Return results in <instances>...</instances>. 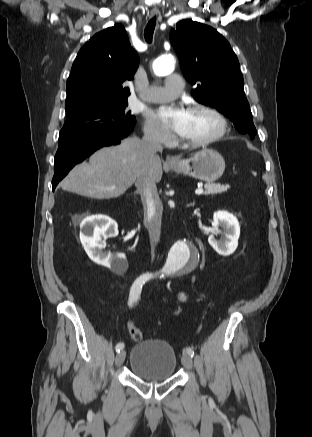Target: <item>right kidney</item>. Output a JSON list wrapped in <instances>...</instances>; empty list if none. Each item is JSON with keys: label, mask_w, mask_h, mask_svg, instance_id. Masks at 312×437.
<instances>
[{"label": "right kidney", "mask_w": 312, "mask_h": 437, "mask_svg": "<svg viewBox=\"0 0 312 437\" xmlns=\"http://www.w3.org/2000/svg\"><path fill=\"white\" fill-rule=\"evenodd\" d=\"M117 223L105 215H95L85 218L80 224V241L88 257L98 265L113 271L127 269L128 263L124 255L114 257L102 253L106 247V235H117Z\"/></svg>", "instance_id": "right-kidney-1"}]
</instances>
